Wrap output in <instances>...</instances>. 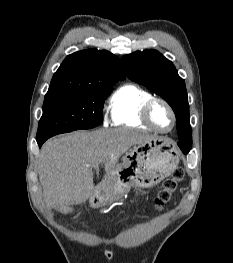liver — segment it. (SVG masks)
I'll use <instances>...</instances> for the list:
<instances>
[{
    "label": "liver",
    "mask_w": 233,
    "mask_h": 263,
    "mask_svg": "<svg viewBox=\"0 0 233 263\" xmlns=\"http://www.w3.org/2000/svg\"><path fill=\"white\" fill-rule=\"evenodd\" d=\"M156 136L126 128L77 131L48 140L38 160L43 197L50 209L85 203L96 189L92 168L103 164L110 177L119 158L133 145Z\"/></svg>",
    "instance_id": "obj_1"
}]
</instances>
